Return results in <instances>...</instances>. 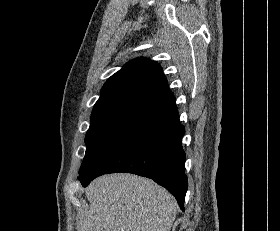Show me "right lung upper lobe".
<instances>
[{"label":"right lung upper lobe","instance_id":"cb5924a9","mask_svg":"<svg viewBox=\"0 0 280 231\" xmlns=\"http://www.w3.org/2000/svg\"><path fill=\"white\" fill-rule=\"evenodd\" d=\"M175 102L160 65L140 57L107 80L91 119H124L139 124L177 108Z\"/></svg>","mask_w":280,"mask_h":231}]
</instances>
